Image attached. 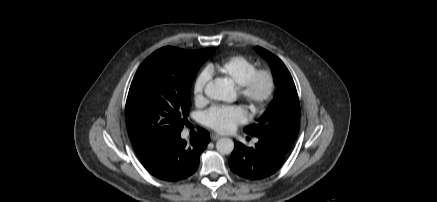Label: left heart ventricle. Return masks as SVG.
<instances>
[{"label": "left heart ventricle", "instance_id": "b2bd125f", "mask_svg": "<svg viewBox=\"0 0 437 202\" xmlns=\"http://www.w3.org/2000/svg\"><path fill=\"white\" fill-rule=\"evenodd\" d=\"M263 89H264V83H263V82H260V83L258 84V90L261 91V90H263Z\"/></svg>", "mask_w": 437, "mask_h": 202}]
</instances>
